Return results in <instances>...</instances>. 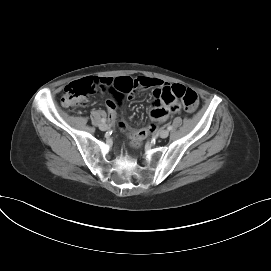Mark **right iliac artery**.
<instances>
[{"instance_id": "1", "label": "right iliac artery", "mask_w": 271, "mask_h": 271, "mask_svg": "<svg viewBox=\"0 0 271 271\" xmlns=\"http://www.w3.org/2000/svg\"><path fill=\"white\" fill-rule=\"evenodd\" d=\"M101 122H102V123H105V122H106V119H105V118H102V119H101Z\"/></svg>"}]
</instances>
